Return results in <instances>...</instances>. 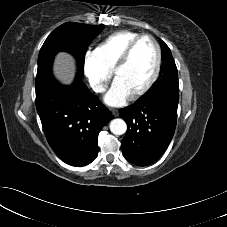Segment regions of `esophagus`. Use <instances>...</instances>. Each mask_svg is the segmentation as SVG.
<instances>
[{
	"mask_svg": "<svg viewBox=\"0 0 227 227\" xmlns=\"http://www.w3.org/2000/svg\"><path fill=\"white\" fill-rule=\"evenodd\" d=\"M112 114H113V116H115V117H117L118 115H119V112H118V110H112Z\"/></svg>",
	"mask_w": 227,
	"mask_h": 227,
	"instance_id": "34e87169",
	"label": "esophagus"
}]
</instances>
